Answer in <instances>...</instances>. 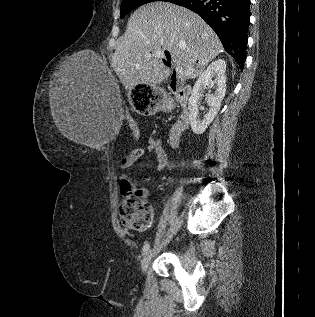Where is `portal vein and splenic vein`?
<instances>
[{
    "label": "portal vein and splenic vein",
    "instance_id": "18ae733b",
    "mask_svg": "<svg viewBox=\"0 0 315 317\" xmlns=\"http://www.w3.org/2000/svg\"><path fill=\"white\" fill-rule=\"evenodd\" d=\"M176 72L179 74V77H185L193 73V69L183 70L181 67L176 66L175 67Z\"/></svg>",
    "mask_w": 315,
    "mask_h": 317
}]
</instances>
